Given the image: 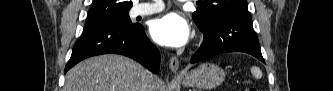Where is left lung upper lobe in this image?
<instances>
[{"mask_svg":"<svg viewBox=\"0 0 333 91\" xmlns=\"http://www.w3.org/2000/svg\"><path fill=\"white\" fill-rule=\"evenodd\" d=\"M198 4L201 7L192 18L202 32L224 15L248 12L247 0H200Z\"/></svg>","mask_w":333,"mask_h":91,"instance_id":"5c2ea615","label":"left lung upper lobe"}]
</instances>
